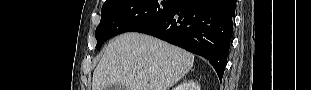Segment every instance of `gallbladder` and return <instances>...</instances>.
Masks as SVG:
<instances>
[{
	"label": "gallbladder",
	"instance_id": "obj_1",
	"mask_svg": "<svg viewBox=\"0 0 311 90\" xmlns=\"http://www.w3.org/2000/svg\"><path fill=\"white\" fill-rule=\"evenodd\" d=\"M109 90H126V88L123 85H116L112 88H109Z\"/></svg>",
	"mask_w": 311,
	"mask_h": 90
}]
</instances>
